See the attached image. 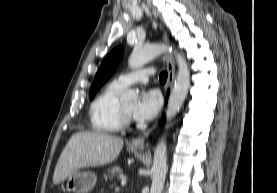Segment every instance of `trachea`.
<instances>
[{
  "label": "trachea",
  "mask_w": 277,
  "mask_h": 193,
  "mask_svg": "<svg viewBox=\"0 0 277 193\" xmlns=\"http://www.w3.org/2000/svg\"><path fill=\"white\" fill-rule=\"evenodd\" d=\"M159 80L161 83H164L167 80V72H165V71L161 72V74L159 76Z\"/></svg>",
  "instance_id": "1"
}]
</instances>
